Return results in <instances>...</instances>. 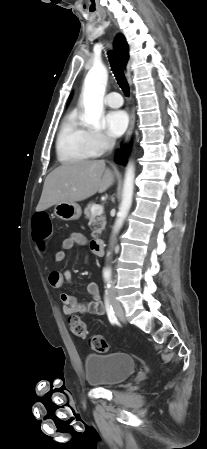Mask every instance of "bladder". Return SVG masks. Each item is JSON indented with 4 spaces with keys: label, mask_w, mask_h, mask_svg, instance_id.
<instances>
[{
    "label": "bladder",
    "mask_w": 207,
    "mask_h": 449,
    "mask_svg": "<svg viewBox=\"0 0 207 449\" xmlns=\"http://www.w3.org/2000/svg\"><path fill=\"white\" fill-rule=\"evenodd\" d=\"M134 358L126 353H89L84 359L87 382L97 386H115L128 379L135 371Z\"/></svg>",
    "instance_id": "31cf9c89"
}]
</instances>
